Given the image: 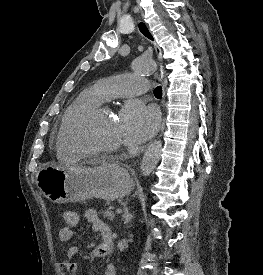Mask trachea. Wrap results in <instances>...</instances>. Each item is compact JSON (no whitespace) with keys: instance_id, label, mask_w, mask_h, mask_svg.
I'll use <instances>...</instances> for the list:
<instances>
[{"instance_id":"obj_1","label":"trachea","mask_w":263,"mask_h":275,"mask_svg":"<svg viewBox=\"0 0 263 275\" xmlns=\"http://www.w3.org/2000/svg\"><path fill=\"white\" fill-rule=\"evenodd\" d=\"M154 95H155L156 98H161L162 97V88H161V86H157L154 89Z\"/></svg>"}]
</instances>
